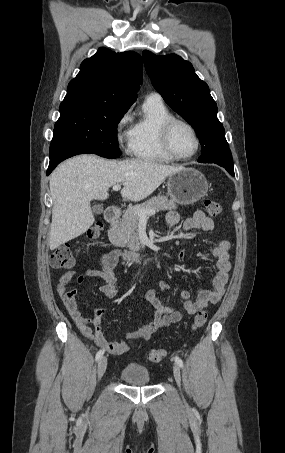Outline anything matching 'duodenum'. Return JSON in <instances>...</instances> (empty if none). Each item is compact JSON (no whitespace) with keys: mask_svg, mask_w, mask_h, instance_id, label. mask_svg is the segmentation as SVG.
Segmentation results:
<instances>
[{"mask_svg":"<svg viewBox=\"0 0 285 453\" xmlns=\"http://www.w3.org/2000/svg\"><path fill=\"white\" fill-rule=\"evenodd\" d=\"M120 218V210L117 207L110 206L105 211V219L110 225H115ZM111 242L114 245H117V242L114 237H111ZM122 257L125 260L134 261L141 265H149L157 260V256H143L135 252L122 251Z\"/></svg>","mask_w":285,"mask_h":453,"instance_id":"obj_1","label":"duodenum"}]
</instances>
